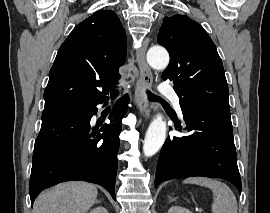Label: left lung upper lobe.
<instances>
[{
    "mask_svg": "<svg viewBox=\"0 0 270 213\" xmlns=\"http://www.w3.org/2000/svg\"><path fill=\"white\" fill-rule=\"evenodd\" d=\"M157 41L170 54L162 78L174 83L183 106L230 111L222 61L200 24L186 15L165 17Z\"/></svg>",
    "mask_w": 270,
    "mask_h": 213,
    "instance_id": "obj_1",
    "label": "left lung upper lobe"
}]
</instances>
